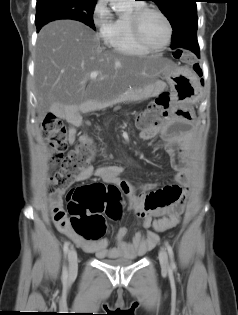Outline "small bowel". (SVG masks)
Segmentation results:
<instances>
[{
	"instance_id": "1",
	"label": "small bowel",
	"mask_w": 238,
	"mask_h": 315,
	"mask_svg": "<svg viewBox=\"0 0 238 315\" xmlns=\"http://www.w3.org/2000/svg\"><path fill=\"white\" fill-rule=\"evenodd\" d=\"M157 133L162 135L167 141L166 145L169 146L167 151L170 156V167L176 172L174 176L175 184L155 191H151L155 187L152 184H146L138 189L122 178L124 169L118 164H107L97 168L88 165L75 178L76 182H86L93 177H98L104 182L116 184L128 198L129 210L135 213L140 221V226L145 231H137L131 240H127V229L119 227L115 233L116 245L114 247H110L108 240L105 238L88 241L79 233H73V229L70 228L68 223L70 216H67L62 209V191H57L49 197L51 216L57 229L73 239L83 250L95 253L99 258H137L153 248L159 240L158 234L149 230L153 219L157 221L159 216H167L169 218L168 229L176 226L179 223L180 213L187 198L191 178L187 152L189 138L187 136L177 138L170 134L165 127L142 130L139 136L142 140L147 141ZM75 140L76 129L72 128L70 130V141L74 142Z\"/></svg>"
}]
</instances>
